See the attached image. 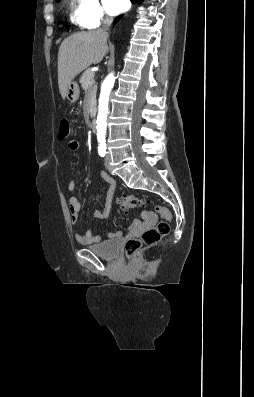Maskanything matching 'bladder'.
Returning a JSON list of instances; mask_svg holds the SVG:
<instances>
[{
    "instance_id": "obj_1",
    "label": "bladder",
    "mask_w": 254,
    "mask_h": 397,
    "mask_svg": "<svg viewBox=\"0 0 254 397\" xmlns=\"http://www.w3.org/2000/svg\"><path fill=\"white\" fill-rule=\"evenodd\" d=\"M88 249L101 258L111 260L116 258L119 254L120 240L112 239L104 241L100 244L88 246Z\"/></svg>"
}]
</instances>
